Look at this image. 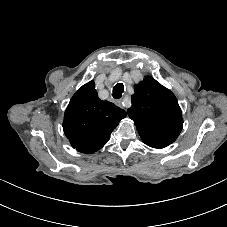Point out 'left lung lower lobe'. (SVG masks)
Segmentation results:
<instances>
[{"label": "left lung lower lobe", "mask_w": 227, "mask_h": 227, "mask_svg": "<svg viewBox=\"0 0 227 227\" xmlns=\"http://www.w3.org/2000/svg\"><path fill=\"white\" fill-rule=\"evenodd\" d=\"M139 134H140L142 141L150 147L160 149V148H164L169 145L168 143H166L152 135H149L145 132H139Z\"/></svg>", "instance_id": "0a47b994"}]
</instances>
